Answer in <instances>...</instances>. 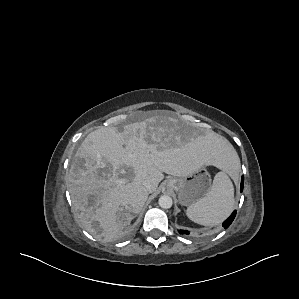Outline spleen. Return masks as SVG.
I'll return each instance as SVG.
<instances>
[{
  "label": "spleen",
  "mask_w": 299,
  "mask_h": 299,
  "mask_svg": "<svg viewBox=\"0 0 299 299\" xmlns=\"http://www.w3.org/2000/svg\"><path fill=\"white\" fill-rule=\"evenodd\" d=\"M234 187L225 171L218 172L206 196L189 206L186 215L190 220L204 226L222 223L234 207Z\"/></svg>",
  "instance_id": "obj_1"
}]
</instances>
